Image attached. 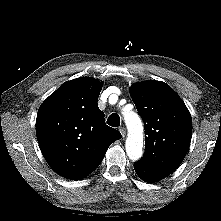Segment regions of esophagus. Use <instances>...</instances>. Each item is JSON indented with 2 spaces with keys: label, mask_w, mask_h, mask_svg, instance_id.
I'll list each match as a JSON object with an SVG mask.
<instances>
[{
  "label": "esophagus",
  "mask_w": 221,
  "mask_h": 221,
  "mask_svg": "<svg viewBox=\"0 0 221 221\" xmlns=\"http://www.w3.org/2000/svg\"><path fill=\"white\" fill-rule=\"evenodd\" d=\"M119 131H120L122 137L124 138V137L126 136V128H125L124 126H123V127H120V128H119Z\"/></svg>",
  "instance_id": "1"
}]
</instances>
